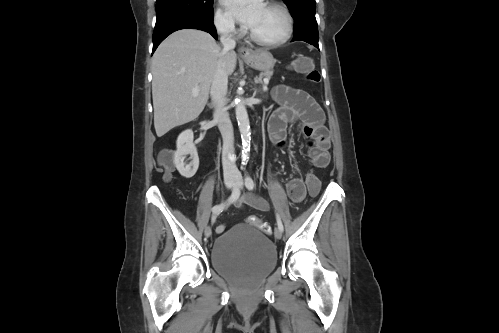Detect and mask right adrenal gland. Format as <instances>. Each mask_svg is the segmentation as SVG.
Here are the masks:
<instances>
[{
	"label": "right adrenal gland",
	"instance_id": "obj_1",
	"mask_svg": "<svg viewBox=\"0 0 499 333\" xmlns=\"http://www.w3.org/2000/svg\"><path fill=\"white\" fill-rule=\"evenodd\" d=\"M209 107H212V104H208Z\"/></svg>",
	"mask_w": 499,
	"mask_h": 333
}]
</instances>
